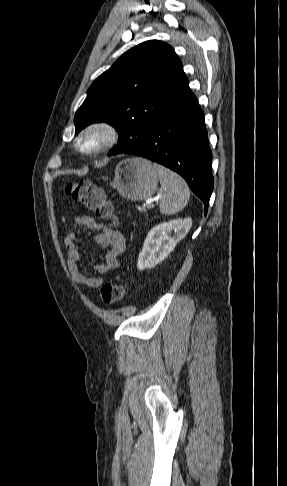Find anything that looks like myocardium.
Listing matches in <instances>:
<instances>
[{
  "label": "myocardium",
  "instance_id": "obj_1",
  "mask_svg": "<svg viewBox=\"0 0 287 486\" xmlns=\"http://www.w3.org/2000/svg\"><path fill=\"white\" fill-rule=\"evenodd\" d=\"M91 137H97L98 143L86 147L83 142ZM119 139L118 129L107 121H96L86 126L75 139V148L82 154L93 156L111 149Z\"/></svg>",
  "mask_w": 287,
  "mask_h": 486
}]
</instances>
